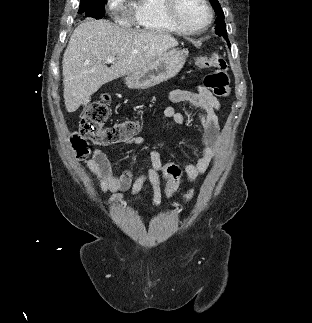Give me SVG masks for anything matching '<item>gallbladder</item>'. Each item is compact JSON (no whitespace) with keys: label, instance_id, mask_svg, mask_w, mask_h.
Wrapping results in <instances>:
<instances>
[{"label":"gallbladder","instance_id":"1","mask_svg":"<svg viewBox=\"0 0 312 323\" xmlns=\"http://www.w3.org/2000/svg\"><path fill=\"white\" fill-rule=\"evenodd\" d=\"M87 102H90V96H89V98H87V100H86V104H87Z\"/></svg>","mask_w":312,"mask_h":323}]
</instances>
